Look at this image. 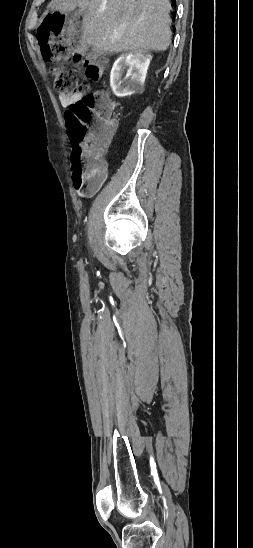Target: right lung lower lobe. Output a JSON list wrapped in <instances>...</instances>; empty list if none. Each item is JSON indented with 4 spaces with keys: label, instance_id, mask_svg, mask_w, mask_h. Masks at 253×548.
<instances>
[{
    "label": "right lung lower lobe",
    "instance_id": "right-lung-lower-lobe-1",
    "mask_svg": "<svg viewBox=\"0 0 253 548\" xmlns=\"http://www.w3.org/2000/svg\"><path fill=\"white\" fill-rule=\"evenodd\" d=\"M173 2L174 5H176V0H171Z\"/></svg>",
    "mask_w": 253,
    "mask_h": 548
}]
</instances>
